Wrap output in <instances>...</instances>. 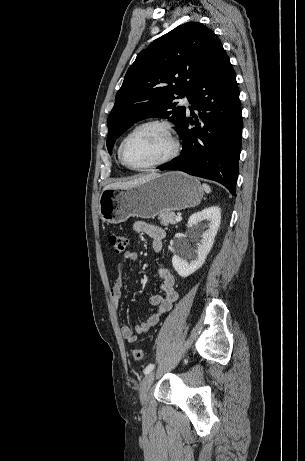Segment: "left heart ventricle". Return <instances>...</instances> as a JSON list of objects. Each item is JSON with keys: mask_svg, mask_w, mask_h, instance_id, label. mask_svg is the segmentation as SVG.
I'll list each match as a JSON object with an SVG mask.
<instances>
[{"mask_svg": "<svg viewBox=\"0 0 305 461\" xmlns=\"http://www.w3.org/2000/svg\"><path fill=\"white\" fill-rule=\"evenodd\" d=\"M171 150V141L158 127L138 131L127 142L125 152L134 165H147L165 157Z\"/></svg>", "mask_w": 305, "mask_h": 461, "instance_id": "left-heart-ventricle-1", "label": "left heart ventricle"}]
</instances>
